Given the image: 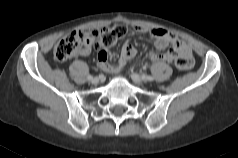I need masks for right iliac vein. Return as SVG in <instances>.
Returning a JSON list of instances; mask_svg holds the SVG:
<instances>
[{
  "mask_svg": "<svg viewBox=\"0 0 238 158\" xmlns=\"http://www.w3.org/2000/svg\"><path fill=\"white\" fill-rule=\"evenodd\" d=\"M98 82H99V79L97 77H95L91 80L92 84H97Z\"/></svg>",
  "mask_w": 238,
  "mask_h": 158,
  "instance_id": "obj_1",
  "label": "right iliac vein"
}]
</instances>
